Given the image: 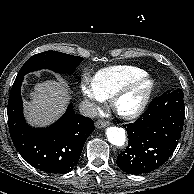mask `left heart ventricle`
<instances>
[{
  "label": "left heart ventricle",
  "mask_w": 194,
  "mask_h": 194,
  "mask_svg": "<svg viewBox=\"0 0 194 194\" xmlns=\"http://www.w3.org/2000/svg\"><path fill=\"white\" fill-rule=\"evenodd\" d=\"M148 87H149L148 82L142 83L141 85L137 86L134 90H132L130 93H128L120 100L119 108L122 111L126 112L135 109L139 105Z\"/></svg>",
  "instance_id": "1"
}]
</instances>
